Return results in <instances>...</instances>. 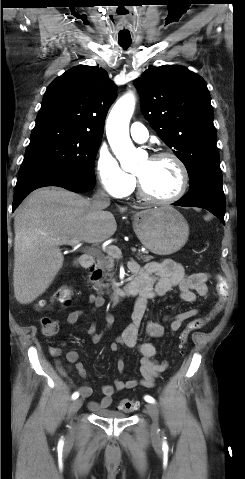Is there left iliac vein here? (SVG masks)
<instances>
[{"instance_id": "obj_1", "label": "left iliac vein", "mask_w": 245, "mask_h": 479, "mask_svg": "<svg viewBox=\"0 0 245 479\" xmlns=\"http://www.w3.org/2000/svg\"><path fill=\"white\" fill-rule=\"evenodd\" d=\"M146 410H147V413L149 414V416L151 417L152 419V425H151V431L152 433L156 434L158 432V429H159V423H158V420H159V413H158V409L157 407L152 404V403H148L146 404Z\"/></svg>"}]
</instances>
